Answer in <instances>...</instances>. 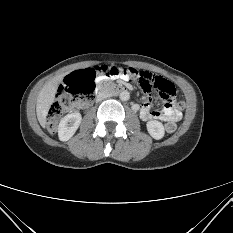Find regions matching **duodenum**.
Segmentation results:
<instances>
[{"label": "duodenum", "instance_id": "obj_1", "mask_svg": "<svg viewBox=\"0 0 233 233\" xmlns=\"http://www.w3.org/2000/svg\"><path fill=\"white\" fill-rule=\"evenodd\" d=\"M123 91V87L119 84L101 82L97 86L96 95L99 93H118Z\"/></svg>", "mask_w": 233, "mask_h": 233}]
</instances>
